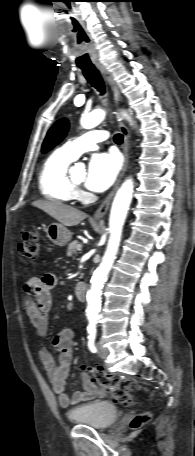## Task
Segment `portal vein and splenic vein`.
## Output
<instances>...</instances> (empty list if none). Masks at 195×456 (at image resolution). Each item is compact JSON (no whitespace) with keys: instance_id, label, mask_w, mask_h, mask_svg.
I'll use <instances>...</instances> for the list:
<instances>
[{"instance_id":"1","label":"portal vein and splenic vein","mask_w":195,"mask_h":456,"mask_svg":"<svg viewBox=\"0 0 195 456\" xmlns=\"http://www.w3.org/2000/svg\"><path fill=\"white\" fill-rule=\"evenodd\" d=\"M76 249H77L78 251H81L82 245H81V244H78L77 247H76Z\"/></svg>"}]
</instances>
